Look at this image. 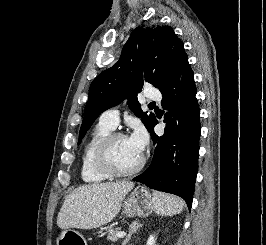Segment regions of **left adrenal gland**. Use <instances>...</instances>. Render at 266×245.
Segmentation results:
<instances>
[{
  "label": "left adrenal gland",
  "mask_w": 266,
  "mask_h": 245,
  "mask_svg": "<svg viewBox=\"0 0 266 245\" xmlns=\"http://www.w3.org/2000/svg\"><path fill=\"white\" fill-rule=\"evenodd\" d=\"M139 227H142V225H140V223H138V221H134V223H132V225H130L129 233H128L125 241H123V245H127L128 241H130L132 235H134V233H136V231H138Z\"/></svg>",
  "instance_id": "1"
}]
</instances>
